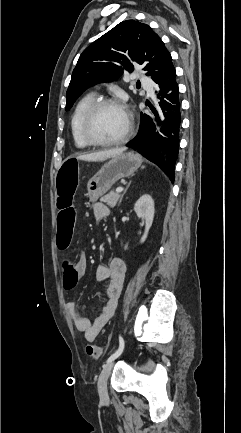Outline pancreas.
Returning a JSON list of instances; mask_svg holds the SVG:
<instances>
[{"mask_svg": "<svg viewBox=\"0 0 241 433\" xmlns=\"http://www.w3.org/2000/svg\"><path fill=\"white\" fill-rule=\"evenodd\" d=\"M120 198L121 195L119 193L111 191L108 194L102 196L100 201L106 203L109 207L114 208Z\"/></svg>", "mask_w": 241, "mask_h": 433, "instance_id": "pancreas-1", "label": "pancreas"}]
</instances>
